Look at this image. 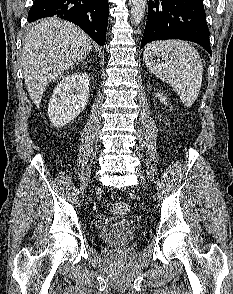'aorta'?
<instances>
[{"instance_id":"1","label":"aorta","mask_w":233,"mask_h":294,"mask_svg":"<svg viewBox=\"0 0 233 294\" xmlns=\"http://www.w3.org/2000/svg\"><path fill=\"white\" fill-rule=\"evenodd\" d=\"M147 0H131V22L138 25L144 17Z\"/></svg>"}]
</instances>
